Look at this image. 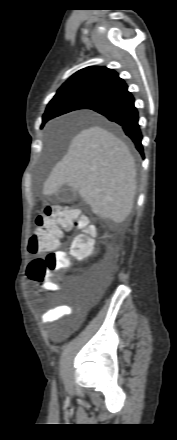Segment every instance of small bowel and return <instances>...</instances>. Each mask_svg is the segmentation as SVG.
Masks as SVG:
<instances>
[{
    "mask_svg": "<svg viewBox=\"0 0 177 440\" xmlns=\"http://www.w3.org/2000/svg\"><path fill=\"white\" fill-rule=\"evenodd\" d=\"M28 278L32 280V273L28 274ZM48 286V285H46ZM75 312L72 307L68 305H59L51 308L43 314L41 320L43 323H53L61 320L64 317H74ZM82 316L75 317L74 320L68 325V330L76 328L77 324L81 321Z\"/></svg>",
    "mask_w": 177,
    "mask_h": 440,
    "instance_id": "1",
    "label": "small bowel"
}]
</instances>
